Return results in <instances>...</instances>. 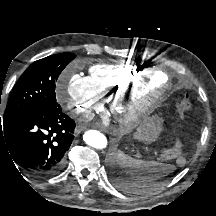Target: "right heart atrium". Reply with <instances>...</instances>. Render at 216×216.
I'll use <instances>...</instances> for the list:
<instances>
[{"instance_id": "obj_1", "label": "right heart atrium", "mask_w": 216, "mask_h": 216, "mask_svg": "<svg viewBox=\"0 0 216 216\" xmlns=\"http://www.w3.org/2000/svg\"><path fill=\"white\" fill-rule=\"evenodd\" d=\"M56 97L65 111L72 116L88 118L101 111L104 100L94 88L89 76L66 70L56 84Z\"/></svg>"}]
</instances>
